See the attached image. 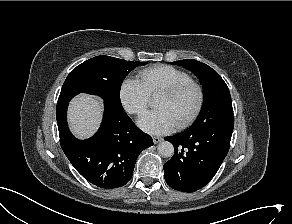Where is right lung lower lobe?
I'll use <instances>...</instances> for the list:
<instances>
[{
  "label": "right lung lower lobe",
  "mask_w": 292,
  "mask_h": 224,
  "mask_svg": "<svg viewBox=\"0 0 292 224\" xmlns=\"http://www.w3.org/2000/svg\"><path fill=\"white\" fill-rule=\"evenodd\" d=\"M78 93L60 94L57 124L63 152L74 168L90 183L104 189L125 185L132 177L135 162L145 148L153 145L123 107L104 101V116L98 132L87 140L76 139L68 129L67 107Z\"/></svg>",
  "instance_id": "right-lung-lower-lobe-1"
}]
</instances>
